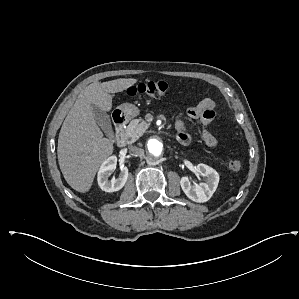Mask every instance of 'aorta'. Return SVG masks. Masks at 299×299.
Returning a JSON list of instances; mask_svg holds the SVG:
<instances>
[{
    "mask_svg": "<svg viewBox=\"0 0 299 299\" xmlns=\"http://www.w3.org/2000/svg\"><path fill=\"white\" fill-rule=\"evenodd\" d=\"M146 151L153 161L160 159L165 152V145L159 137H151L146 143Z\"/></svg>",
    "mask_w": 299,
    "mask_h": 299,
    "instance_id": "762f6f07",
    "label": "aorta"
}]
</instances>
